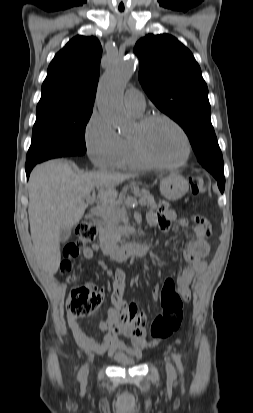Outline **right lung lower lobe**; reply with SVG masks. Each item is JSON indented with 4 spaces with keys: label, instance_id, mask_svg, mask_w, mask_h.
Masks as SVG:
<instances>
[{
    "label": "right lung lower lobe",
    "instance_id": "right-lung-lower-lobe-1",
    "mask_svg": "<svg viewBox=\"0 0 253 413\" xmlns=\"http://www.w3.org/2000/svg\"><path fill=\"white\" fill-rule=\"evenodd\" d=\"M36 164H37V163H33V164L26 165V175H27V178H29L30 172H31V170L33 169V167H34Z\"/></svg>",
    "mask_w": 253,
    "mask_h": 413
}]
</instances>
